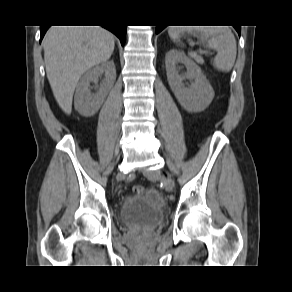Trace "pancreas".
<instances>
[{
	"instance_id": "cf45deb5",
	"label": "pancreas",
	"mask_w": 292,
	"mask_h": 292,
	"mask_svg": "<svg viewBox=\"0 0 292 292\" xmlns=\"http://www.w3.org/2000/svg\"><path fill=\"white\" fill-rule=\"evenodd\" d=\"M190 55H191L192 58H193L196 62H198L199 64H203V63H204L202 57H201L200 55H198L197 53H195V52H191Z\"/></svg>"
}]
</instances>
